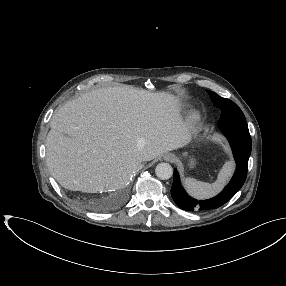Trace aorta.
I'll list each match as a JSON object with an SVG mask.
<instances>
[{
  "instance_id": "762f6f07",
  "label": "aorta",
  "mask_w": 286,
  "mask_h": 286,
  "mask_svg": "<svg viewBox=\"0 0 286 286\" xmlns=\"http://www.w3.org/2000/svg\"><path fill=\"white\" fill-rule=\"evenodd\" d=\"M156 176L161 180H167L173 175V168L169 163H159L155 168Z\"/></svg>"
}]
</instances>
